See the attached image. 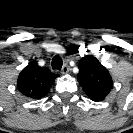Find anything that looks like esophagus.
Instances as JSON below:
<instances>
[{
  "mask_svg": "<svg viewBox=\"0 0 133 133\" xmlns=\"http://www.w3.org/2000/svg\"><path fill=\"white\" fill-rule=\"evenodd\" d=\"M69 72V67L65 64L63 65L62 69H61V73L62 74H67Z\"/></svg>",
  "mask_w": 133,
  "mask_h": 133,
  "instance_id": "1",
  "label": "esophagus"
}]
</instances>
